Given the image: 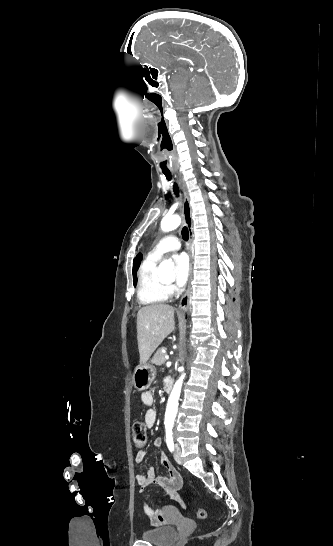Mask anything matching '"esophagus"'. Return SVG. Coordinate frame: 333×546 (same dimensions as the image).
Here are the masks:
<instances>
[{"label":"esophagus","mask_w":333,"mask_h":546,"mask_svg":"<svg viewBox=\"0 0 333 546\" xmlns=\"http://www.w3.org/2000/svg\"><path fill=\"white\" fill-rule=\"evenodd\" d=\"M178 183H179V185H180V187H181V189L183 191V195H184L183 218H184V222H185L186 226L189 229V244H190V247H189V256H190L189 284H188V288H187L184 296L181 298L180 303H179V311L184 312V311L187 310V308L189 306V300H190V294H191L190 282L192 280V263H193V254H192V250H191V245H192V241H193V229H192L191 207H190L188 192H187L185 186L182 184L181 180L178 179Z\"/></svg>","instance_id":"1"}]
</instances>
